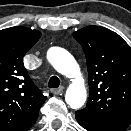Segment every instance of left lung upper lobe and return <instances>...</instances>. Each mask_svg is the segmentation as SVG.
I'll return each mask as SVG.
<instances>
[{
  "mask_svg": "<svg viewBox=\"0 0 131 131\" xmlns=\"http://www.w3.org/2000/svg\"><path fill=\"white\" fill-rule=\"evenodd\" d=\"M87 61L90 96L76 111L87 131H123L131 123V48L115 32L87 26L73 33Z\"/></svg>",
  "mask_w": 131,
  "mask_h": 131,
  "instance_id": "obj_1",
  "label": "left lung upper lobe"
}]
</instances>
